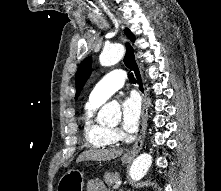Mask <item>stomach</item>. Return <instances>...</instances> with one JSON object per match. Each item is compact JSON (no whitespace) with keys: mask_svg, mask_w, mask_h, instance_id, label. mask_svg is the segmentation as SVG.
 <instances>
[{"mask_svg":"<svg viewBox=\"0 0 221 191\" xmlns=\"http://www.w3.org/2000/svg\"><path fill=\"white\" fill-rule=\"evenodd\" d=\"M132 159L126 156L121 158L122 163H129ZM84 174L76 169L67 171L59 180L57 191H82Z\"/></svg>","mask_w":221,"mask_h":191,"instance_id":"0dacf381","label":"stomach"}]
</instances>
